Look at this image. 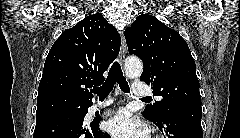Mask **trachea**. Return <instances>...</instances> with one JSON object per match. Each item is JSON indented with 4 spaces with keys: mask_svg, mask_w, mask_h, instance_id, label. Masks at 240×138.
Returning a JSON list of instances; mask_svg holds the SVG:
<instances>
[{
    "mask_svg": "<svg viewBox=\"0 0 240 138\" xmlns=\"http://www.w3.org/2000/svg\"><path fill=\"white\" fill-rule=\"evenodd\" d=\"M116 82L123 92L130 93L129 85L126 78L123 76L121 66L118 62L112 64L104 84L100 87L93 88L92 92L97 94L100 99H103L109 95ZM143 100L148 101L149 99L143 98Z\"/></svg>",
    "mask_w": 240,
    "mask_h": 138,
    "instance_id": "trachea-1",
    "label": "trachea"
}]
</instances>
